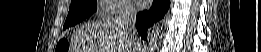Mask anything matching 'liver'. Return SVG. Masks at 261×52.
<instances>
[{
    "instance_id": "obj_1",
    "label": "liver",
    "mask_w": 261,
    "mask_h": 52,
    "mask_svg": "<svg viewBox=\"0 0 261 52\" xmlns=\"http://www.w3.org/2000/svg\"><path fill=\"white\" fill-rule=\"evenodd\" d=\"M77 52H134L131 37L118 25L117 19L102 18L83 25L74 36Z\"/></svg>"
}]
</instances>
